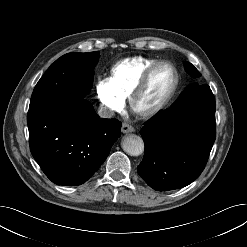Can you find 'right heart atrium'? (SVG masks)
I'll use <instances>...</instances> for the list:
<instances>
[{
	"instance_id": "d8ad5b80",
	"label": "right heart atrium",
	"mask_w": 247,
	"mask_h": 247,
	"mask_svg": "<svg viewBox=\"0 0 247 247\" xmlns=\"http://www.w3.org/2000/svg\"><path fill=\"white\" fill-rule=\"evenodd\" d=\"M96 95L106 114H111L123 109V98L112 86L109 78H100L96 84Z\"/></svg>"
}]
</instances>
